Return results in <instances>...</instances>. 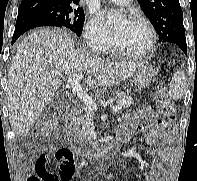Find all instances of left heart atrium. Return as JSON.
<instances>
[{
	"instance_id": "left-heart-atrium-1",
	"label": "left heart atrium",
	"mask_w": 197,
	"mask_h": 181,
	"mask_svg": "<svg viewBox=\"0 0 197 181\" xmlns=\"http://www.w3.org/2000/svg\"><path fill=\"white\" fill-rule=\"evenodd\" d=\"M108 15H109V13L108 12H102L101 13V18H102V20H106L107 19V17H108ZM115 34L117 33V29H115Z\"/></svg>"
}]
</instances>
